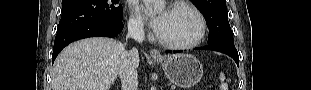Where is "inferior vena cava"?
<instances>
[{"mask_svg": "<svg viewBox=\"0 0 311 90\" xmlns=\"http://www.w3.org/2000/svg\"><path fill=\"white\" fill-rule=\"evenodd\" d=\"M126 38H132L139 43L143 42L145 38L143 25L137 22L129 23ZM135 56L136 50L134 48H129L127 53L124 54V58L127 61L126 64H122L123 70L121 71L124 83L132 90L138 86V66Z\"/></svg>", "mask_w": 311, "mask_h": 90, "instance_id": "inferior-vena-cava-1", "label": "inferior vena cava"}]
</instances>
